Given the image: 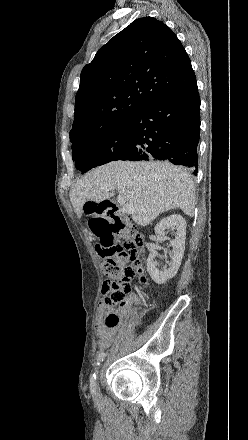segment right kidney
<instances>
[{
  "label": "right kidney",
  "instance_id": "ca27d5eb",
  "mask_svg": "<svg viewBox=\"0 0 248 440\" xmlns=\"http://www.w3.org/2000/svg\"><path fill=\"white\" fill-rule=\"evenodd\" d=\"M171 230L175 239L170 241L173 250L170 252L171 262L169 266L159 269L155 261L156 251L152 250L147 259V271L156 284H164L168 279L173 278L180 265L185 250L186 239V221L179 214H173L163 218L156 226L155 233L159 236H165L166 232Z\"/></svg>",
  "mask_w": 248,
  "mask_h": 440
}]
</instances>
